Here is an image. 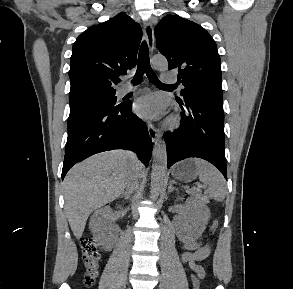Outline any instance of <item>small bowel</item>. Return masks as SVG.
<instances>
[{
  "mask_svg": "<svg viewBox=\"0 0 293 289\" xmlns=\"http://www.w3.org/2000/svg\"><path fill=\"white\" fill-rule=\"evenodd\" d=\"M184 251L181 253V260L191 269L201 267L197 262L204 260L210 254V246L201 241H187L182 243Z\"/></svg>",
  "mask_w": 293,
  "mask_h": 289,
  "instance_id": "obj_1",
  "label": "small bowel"
}]
</instances>
